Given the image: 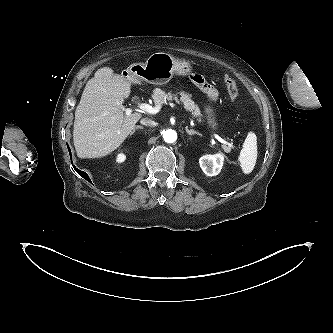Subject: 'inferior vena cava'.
Here are the masks:
<instances>
[{
	"instance_id": "obj_1",
	"label": "inferior vena cava",
	"mask_w": 333,
	"mask_h": 333,
	"mask_svg": "<svg viewBox=\"0 0 333 333\" xmlns=\"http://www.w3.org/2000/svg\"><path fill=\"white\" fill-rule=\"evenodd\" d=\"M141 124L145 125V126H155L156 123L154 121H152L151 119L148 118H143L141 119Z\"/></svg>"
}]
</instances>
